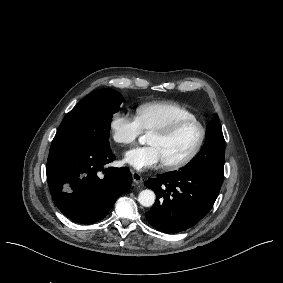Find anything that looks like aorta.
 Here are the masks:
<instances>
[{
	"label": "aorta",
	"instance_id": "aorta-1",
	"mask_svg": "<svg viewBox=\"0 0 283 283\" xmlns=\"http://www.w3.org/2000/svg\"><path fill=\"white\" fill-rule=\"evenodd\" d=\"M139 142L141 144H144L146 142V137L141 136L139 138ZM155 199H156L155 193L150 189L142 190L138 195V201L144 207L153 206V204L155 203Z\"/></svg>",
	"mask_w": 283,
	"mask_h": 283
}]
</instances>
